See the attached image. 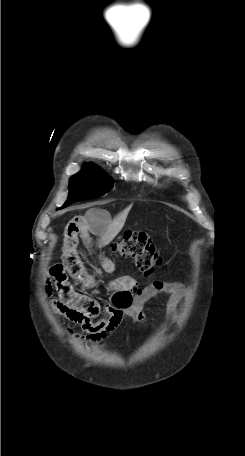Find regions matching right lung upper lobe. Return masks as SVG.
I'll return each mask as SVG.
<instances>
[{
    "mask_svg": "<svg viewBox=\"0 0 245 456\" xmlns=\"http://www.w3.org/2000/svg\"><path fill=\"white\" fill-rule=\"evenodd\" d=\"M85 167H93V166L88 165V166H85Z\"/></svg>",
    "mask_w": 245,
    "mask_h": 456,
    "instance_id": "1",
    "label": "right lung upper lobe"
}]
</instances>
